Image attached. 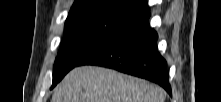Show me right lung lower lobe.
I'll return each mask as SVG.
<instances>
[{"instance_id":"obj_1","label":"right lung lower lobe","mask_w":221,"mask_h":102,"mask_svg":"<svg viewBox=\"0 0 221 102\" xmlns=\"http://www.w3.org/2000/svg\"><path fill=\"white\" fill-rule=\"evenodd\" d=\"M149 17L148 11L142 13L127 28L96 48L79 65H99L145 78L159 84L171 95L167 62L157 49L158 35L150 27Z\"/></svg>"}]
</instances>
